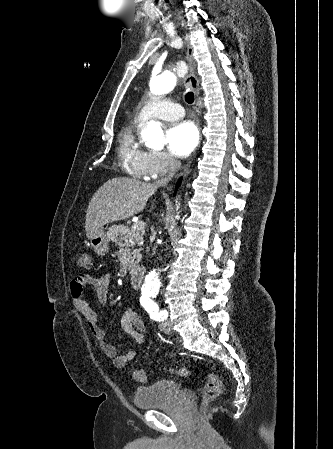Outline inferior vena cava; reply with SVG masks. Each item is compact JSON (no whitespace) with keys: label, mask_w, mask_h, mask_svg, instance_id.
I'll use <instances>...</instances> for the list:
<instances>
[{"label":"inferior vena cava","mask_w":333,"mask_h":449,"mask_svg":"<svg viewBox=\"0 0 333 449\" xmlns=\"http://www.w3.org/2000/svg\"><path fill=\"white\" fill-rule=\"evenodd\" d=\"M180 166H181V162L180 161H178L177 159H171V161H170V171L168 173V176L163 178V179H161L158 182V185H165V184H167L170 181V179L173 177V175L178 171Z\"/></svg>","instance_id":"obj_1"}]
</instances>
